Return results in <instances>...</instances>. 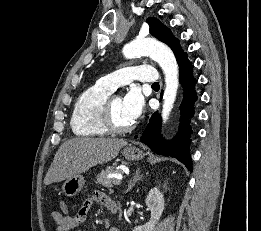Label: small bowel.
Returning a JSON list of instances; mask_svg holds the SVG:
<instances>
[{"label": "small bowel", "mask_w": 261, "mask_h": 231, "mask_svg": "<svg viewBox=\"0 0 261 231\" xmlns=\"http://www.w3.org/2000/svg\"><path fill=\"white\" fill-rule=\"evenodd\" d=\"M94 202L102 204L106 207L112 202H114L108 195L96 192L91 197L83 201V203L78 208L75 215L71 216L67 212L59 209H54L51 212V218L55 222V231H72L77 230L86 220L90 209ZM109 231H119L117 228H111Z\"/></svg>", "instance_id": "c3829d8e"}]
</instances>
